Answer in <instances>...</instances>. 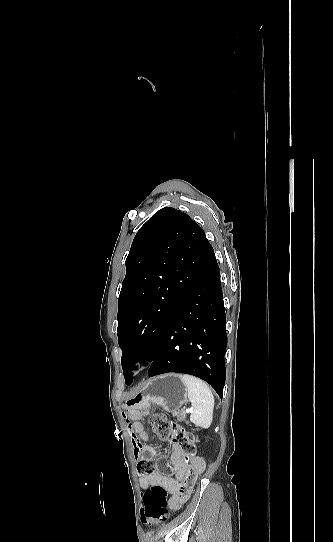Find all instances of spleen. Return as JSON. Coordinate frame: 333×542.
Returning <instances> with one entry per match:
<instances>
[{
  "instance_id": "obj_1",
  "label": "spleen",
  "mask_w": 333,
  "mask_h": 542,
  "mask_svg": "<svg viewBox=\"0 0 333 542\" xmlns=\"http://www.w3.org/2000/svg\"><path fill=\"white\" fill-rule=\"evenodd\" d=\"M179 378L186 386L188 400L191 402L190 422L197 428L207 430L212 424L214 410V396L210 388L195 376L183 374Z\"/></svg>"
}]
</instances>
